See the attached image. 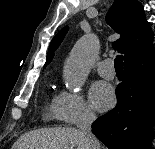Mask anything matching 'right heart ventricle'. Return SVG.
I'll use <instances>...</instances> for the list:
<instances>
[{
    "instance_id": "e07e8e85",
    "label": "right heart ventricle",
    "mask_w": 155,
    "mask_h": 149,
    "mask_svg": "<svg viewBox=\"0 0 155 149\" xmlns=\"http://www.w3.org/2000/svg\"><path fill=\"white\" fill-rule=\"evenodd\" d=\"M44 116L46 118L56 117V105H55V99H53L49 105L46 107Z\"/></svg>"
}]
</instances>
